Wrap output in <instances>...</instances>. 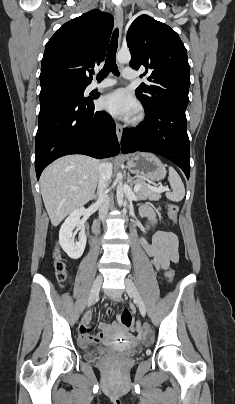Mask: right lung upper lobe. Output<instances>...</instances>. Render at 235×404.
Instances as JSON below:
<instances>
[{
	"mask_svg": "<svg viewBox=\"0 0 235 404\" xmlns=\"http://www.w3.org/2000/svg\"><path fill=\"white\" fill-rule=\"evenodd\" d=\"M114 18L91 10L65 23L50 38L41 63L40 83L67 82L88 85L89 68L105 58Z\"/></svg>",
	"mask_w": 235,
	"mask_h": 404,
	"instance_id": "cb5924a9",
	"label": "right lung upper lobe"
}]
</instances>
